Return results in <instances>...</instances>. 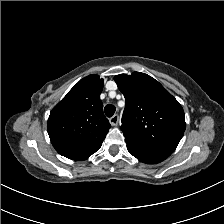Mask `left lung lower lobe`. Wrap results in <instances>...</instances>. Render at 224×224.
Returning a JSON list of instances; mask_svg holds the SVG:
<instances>
[{
  "label": "left lung lower lobe",
  "instance_id": "left-lung-lower-lobe-1",
  "mask_svg": "<svg viewBox=\"0 0 224 224\" xmlns=\"http://www.w3.org/2000/svg\"><path fill=\"white\" fill-rule=\"evenodd\" d=\"M126 143L128 151L139 161L144 163L156 164L165 160L169 156L168 154L160 151L137 146L129 142Z\"/></svg>",
  "mask_w": 224,
  "mask_h": 224
}]
</instances>
